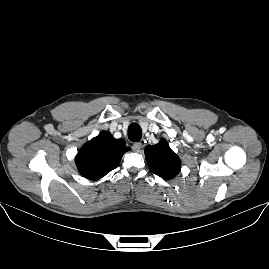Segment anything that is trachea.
I'll return each mask as SVG.
<instances>
[{"instance_id":"obj_1","label":"trachea","mask_w":269,"mask_h":269,"mask_svg":"<svg viewBox=\"0 0 269 269\" xmlns=\"http://www.w3.org/2000/svg\"><path fill=\"white\" fill-rule=\"evenodd\" d=\"M141 137H142L141 127L136 123L130 124L128 127V138L131 141L138 142L141 140Z\"/></svg>"}]
</instances>
